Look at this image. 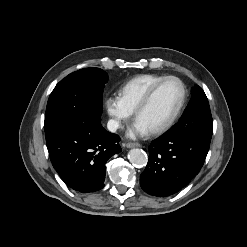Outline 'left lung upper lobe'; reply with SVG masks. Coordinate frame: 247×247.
I'll return each instance as SVG.
<instances>
[{
  "label": "left lung upper lobe",
  "mask_w": 247,
  "mask_h": 247,
  "mask_svg": "<svg viewBox=\"0 0 247 247\" xmlns=\"http://www.w3.org/2000/svg\"><path fill=\"white\" fill-rule=\"evenodd\" d=\"M192 98L179 122L170 131L212 137L213 121L207 97L201 87L192 88Z\"/></svg>",
  "instance_id": "1"
}]
</instances>
